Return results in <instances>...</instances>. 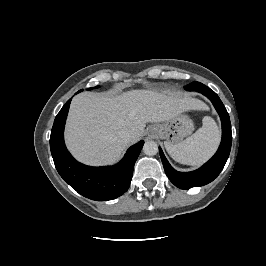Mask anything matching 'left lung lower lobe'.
Instances as JSON below:
<instances>
[{
	"instance_id": "obj_1",
	"label": "left lung lower lobe",
	"mask_w": 266,
	"mask_h": 266,
	"mask_svg": "<svg viewBox=\"0 0 266 266\" xmlns=\"http://www.w3.org/2000/svg\"><path fill=\"white\" fill-rule=\"evenodd\" d=\"M185 89L200 92L208 97L220 115L222 122V141L218 151L207 163L195 171L178 172L174 170L159 147L166 175L175 186L186 190L192 187L206 185L212 182L220 174L230 154L232 133L229 114L222 101L214 91L200 82H193L185 86Z\"/></svg>"
}]
</instances>
